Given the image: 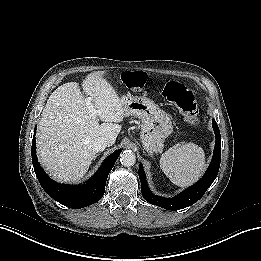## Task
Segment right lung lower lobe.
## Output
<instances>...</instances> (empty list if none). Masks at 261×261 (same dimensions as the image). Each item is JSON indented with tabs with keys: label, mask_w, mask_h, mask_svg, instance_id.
Masks as SVG:
<instances>
[{
	"label": "right lung lower lobe",
	"mask_w": 261,
	"mask_h": 261,
	"mask_svg": "<svg viewBox=\"0 0 261 261\" xmlns=\"http://www.w3.org/2000/svg\"><path fill=\"white\" fill-rule=\"evenodd\" d=\"M31 152L35 174L47 194L64 206L82 208L97 202L104 195L107 177L119 157L121 149L108 156L96 174L86 183L78 186L58 184L48 177L36 157L35 137L32 140Z\"/></svg>",
	"instance_id": "right-lung-lower-lobe-1"
}]
</instances>
